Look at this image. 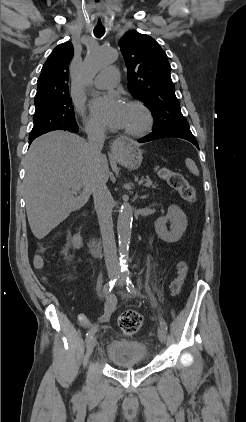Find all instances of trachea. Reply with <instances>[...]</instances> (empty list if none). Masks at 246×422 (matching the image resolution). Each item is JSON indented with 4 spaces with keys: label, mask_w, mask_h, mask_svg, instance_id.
Segmentation results:
<instances>
[{
    "label": "trachea",
    "mask_w": 246,
    "mask_h": 422,
    "mask_svg": "<svg viewBox=\"0 0 246 422\" xmlns=\"http://www.w3.org/2000/svg\"><path fill=\"white\" fill-rule=\"evenodd\" d=\"M105 33V28L104 27H95L94 28V35L97 38H101Z\"/></svg>",
    "instance_id": "trachea-1"
}]
</instances>
